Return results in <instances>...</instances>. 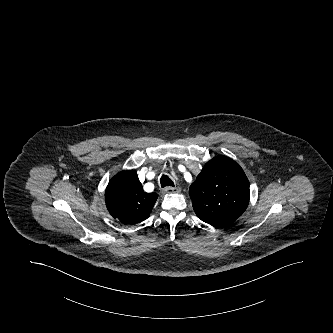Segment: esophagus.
Masks as SVG:
<instances>
[{
	"label": "esophagus",
	"instance_id": "34e87169",
	"mask_svg": "<svg viewBox=\"0 0 333 333\" xmlns=\"http://www.w3.org/2000/svg\"><path fill=\"white\" fill-rule=\"evenodd\" d=\"M163 191L165 193H179L180 192V188L176 187V186L175 187L169 186V187L164 188Z\"/></svg>",
	"mask_w": 333,
	"mask_h": 333
}]
</instances>
